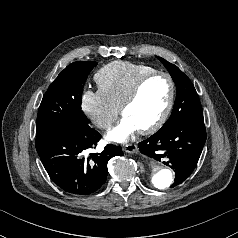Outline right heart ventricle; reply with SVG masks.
Instances as JSON below:
<instances>
[{
	"label": "right heart ventricle",
	"mask_w": 238,
	"mask_h": 238,
	"mask_svg": "<svg viewBox=\"0 0 238 238\" xmlns=\"http://www.w3.org/2000/svg\"><path fill=\"white\" fill-rule=\"evenodd\" d=\"M155 71L154 68L143 64L113 61L100 68L94 79L98 89L118 108L137 81Z\"/></svg>",
	"instance_id": "1"
}]
</instances>
